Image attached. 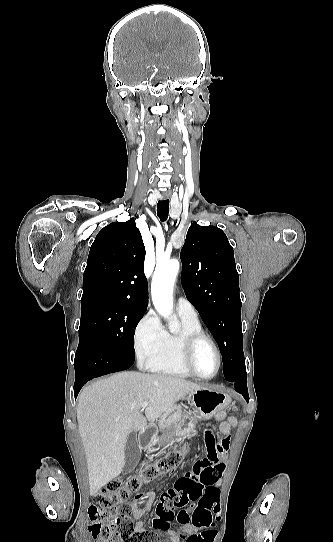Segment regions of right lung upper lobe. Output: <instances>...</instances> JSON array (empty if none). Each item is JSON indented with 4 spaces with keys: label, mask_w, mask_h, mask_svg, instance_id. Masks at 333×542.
Segmentation results:
<instances>
[{
    "label": "right lung upper lobe",
    "mask_w": 333,
    "mask_h": 542,
    "mask_svg": "<svg viewBox=\"0 0 333 542\" xmlns=\"http://www.w3.org/2000/svg\"><path fill=\"white\" fill-rule=\"evenodd\" d=\"M144 259L145 246L133 218L104 227L90 248L81 306L107 303L147 310Z\"/></svg>",
    "instance_id": "cb5924a9"
}]
</instances>
